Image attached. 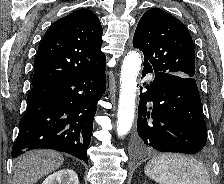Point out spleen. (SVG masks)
Segmentation results:
<instances>
[{"instance_id": "spleen-1", "label": "spleen", "mask_w": 224, "mask_h": 184, "mask_svg": "<svg viewBox=\"0 0 224 184\" xmlns=\"http://www.w3.org/2000/svg\"><path fill=\"white\" fill-rule=\"evenodd\" d=\"M144 172L159 184H211L208 171L201 162L179 154L152 158Z\"/></svg>"}]
</instances>
